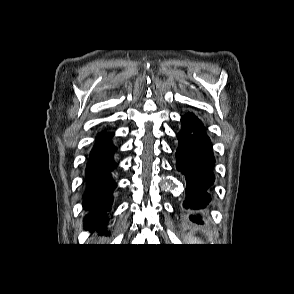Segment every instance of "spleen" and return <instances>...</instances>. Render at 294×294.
I'll return each instance as SVG.
<instances>
[{
  "instance_id": "spleen-1",
  "label": "spleen",
  "mask_w": 294,
  "mask_h": 294,
  "mask_svg": "<svg viewBox=\"0 0 294 294\" xmlns=\"http://www.w3.org/2000/svg\"><path fill=\"white\" fill-rule=\"evenodd\" d=\"M189 241H190L192 244H196V242H199V240H197L196 238H189Z\"/></svg>"
}]
</instances>
